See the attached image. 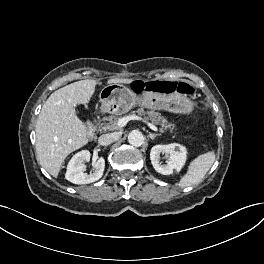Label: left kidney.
Here are the masks:
<instances>
[{
    "mask_svg": "<svg viewBox=\"0 0 264 264\" xmlns=\"http://www.w3.org/2000/svg\"><path fill=\"white\" fill-rule=\"evenodd\" d=\"M165 153L167 156L166 164H161L160 154ZM187 159V149L178 143L167 145H155L150 152V160L154 169L163 175H170L174 170L180 171L185 165Z\"/></svg>",
    "mask_w": 264,
    "mask_h": 264,
    "instance_id": "left-kidney-1",
    "label": "left kidney"
}]
</instances>
